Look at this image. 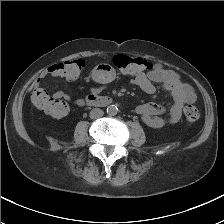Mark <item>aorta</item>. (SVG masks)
Wrapping results in <instances>:
<instances>
[{"instance_id": "762f6f07", "label": "aorta", "mask_w": 224, "mask_h": 224, "mask_svg": "<svg viewBox=\"0 0 224 224\" xmlns=\"http://www.w3.org/2000/svg\"><path fill=\"white\" fill-rule=\"evenodd\" d=\"M118 113V107L116 105H109L107 107V114L109 116H115Z\"/></svg>"}]
</instances>
